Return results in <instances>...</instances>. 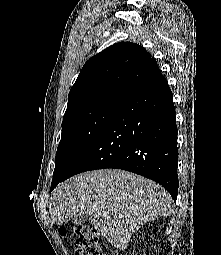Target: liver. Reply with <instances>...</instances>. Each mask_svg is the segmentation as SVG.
<instances>
[{"label": "liver", "mask_w": 221, "mask_h": 255, "mask_svg": "<svg viewBox=\"0 0 221 255\" xmlns=\"http://www.w3.org/2000/svg\"><path fill=\"white\" fill-rule=\"evenodd\" d=\"M51 221L66 224L76 214L91 224L109 243L125 250L132 235L145 223L167 216L172 199L152 180L123 170H95L62 183L50 198Z\"/></svg>", "instance_id": "obj_1"}]
</instances>
